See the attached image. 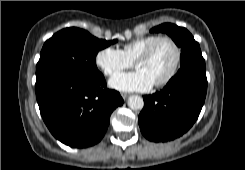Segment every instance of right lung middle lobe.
<instances>
[{
    "label": "right lung middle lobe",
    "instance_id": "right-lung-middle-lobe-1",
    "mask_svg": "<svg viewBox=\"0 0 245 170\" xmlns=\"http://www.w3.org/2000/svg\"><path fill=\"white\" fill-rule=\"evenodd\" d=\"M117 40L98 39L79 28H65L47 40L36 67L35 90L66 76L96 75L99 50Z\"/></svg>",
    "mask_w": 245,
    "mask_h": 170
}]
</instances>
